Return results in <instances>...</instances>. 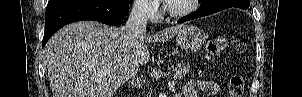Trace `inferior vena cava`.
<instances>
[{"label":"inferior vena cava","mask_w":302,"mask_h":97,"mask_svg":"<svg viewBox=\"0 0 302 97\" xmlns=\"http://www.w3.org/2000/svg\"><path fill=\"white\" fill-rule=\"evenodd\" d=\"M149 4L146 0L136 1L132 7L129 18L124 26L127 34L138 36L146 33Z\"/></svg>","instance_id":"602c4592"}]
</instances>
